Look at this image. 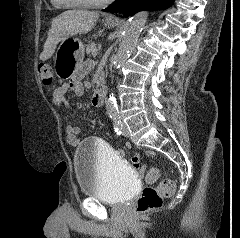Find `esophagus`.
Segmentation results:
<instances>
[{
  "instance_id": "34e87169",
  "label": "esophagus",
  "mask_w": 240,
  "mask_h": 238,
  "mask_svg": "<svg viewBox=\"0 0 240 238\" xmlns=\"http://www.w3.org/2000/svg\"><path fill=\"white\" fill-rule=\"evenodd\" d=\"M107 19H109V20H118L119 17L117 15H109V16H107Z\"/></svg>"
}]
</instances>
